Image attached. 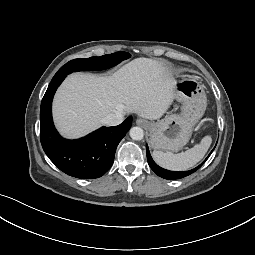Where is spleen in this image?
<instances>
[{"mask_svg":"<svg viewBox=\"0 0 255 255\" xmlns=\"http://www.w3.org/2000/svg\"><path fill=\"white\" fill-rule=\"evenodd\" d=\"M212 138L205 136L199 144L185 152L178 154L164 153L162 151H153V158L161 167L173 170L184 171L195 166L205 156L210 145Z\"/></svg>","mask_w":255,"mask_h":255,"instance_id":"1","label":"spleen"}]
</instances>
